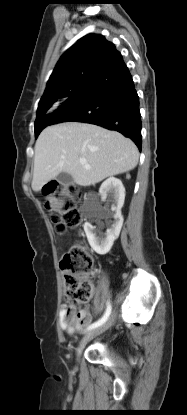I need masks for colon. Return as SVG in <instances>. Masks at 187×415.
I'll list each match as a JSON object with an SVG mask.
<instances>
[{
	"label": "colon",
	"instance_id": "obj_1",
	"mask_svg": "<svg viewBox=\"0 0 187 415\" xmlns=\"http://www.w3.org/2000/svg\"><path fill=\"white\" fill-rule=\"evenodd\" d=\"M46 209L52 215L57 233L80 225L81 215L75 200L79 194L77 187L60 181H51L43 188ZM61 270L66 288V299L70 307H78L93 296V284L87 273L93 267V259L85 246L79 244L71 248L61 261Z\"/></svg>",
	"mask_w": 187,
	"mask_h": 415
}]
</instances>
